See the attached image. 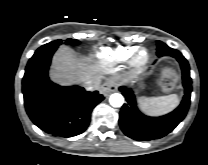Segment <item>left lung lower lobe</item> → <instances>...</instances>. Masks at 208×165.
<instances>
[{
    "mask_svg": "<svg viewBox=\"0 0 208 165\" xmlns=\"http://www.w3.org/2000/svg\"><path fill=\"white\" fill-rule=\"evenodd\" d=\"M158 56H171L177 59L182 70L184 97L180 105L171 113L161 117H149L142 114L136 104V98L131 88L120 87L127 103L120 111L119 124L128 137L138 141H149L162 138L170 133L186 116L192 92L190 67L185 57L175 49H167Z\"/></svg>",
    "mask_w": 208,
    "mask_h": 165,
    "instance_id": "0a47b994",
    "label": "left lung lower lobe"
}]
</instances>
